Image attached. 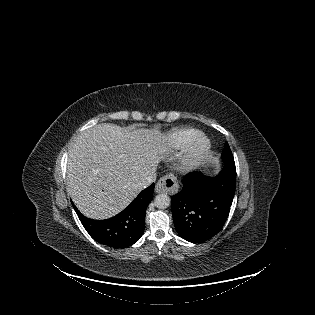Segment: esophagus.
I'll list each match as a JSON object with an SVG mask.
<instances>
[{
  "label": "esophagus",
  "mask_w": 315,
  "mask_h": 315,
  "mask_svg": "<svg viewBox=\"0 0 315 315\" xmlns=\"http://www.w3.org/2000/svg\"><path fill=\"white\" fill-rule=\"evenodd\" d=\"M179 185L176 178L172 175H165L158 180L155 186L156 193H175L178 191Z\"/></svg>",
  "instance_id": "34e87169"
}]
</instances>
